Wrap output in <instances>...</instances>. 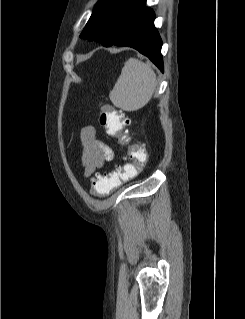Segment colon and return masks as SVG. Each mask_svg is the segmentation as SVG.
Listing matches in <instances>:
<instances>
[{"instance_id":"colon-1","label":"colon","mask_w":245,"mask_h":319,"mask_svg":"<svg viewBox=\"0 0 245 319\" xmlns=\"http://www.w3.org/2000/svg\"><path fill=\"white\" fill-rule=\"evenodd\" d=\"M99 124L108 136L117 139L119 145L127 147L125 164L117 166L110 173L95 174L92 177V192L96 195H107L136 177L145 167L148 155L143 145L131 141L130 120L113 105L101 104Z\"/></svg>"}]
</instances>
